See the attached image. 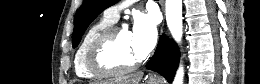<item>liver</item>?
Returning <instances> with one entry per match:
<instances>
[{
    "label": "liver",
    "instance_id": "1",
    "mask_svg": "<svg viewBox=\"0 0 260 84\" xmlns=\"http://www.w3.org/2000/svg\"><path fill=\"white\" fill-rule=\"evenodd\" d=\"M142 74L125 76L117 80L101 81L96 84H139Z\"/></svg>",
    "mask_w": 260,
    "mask_h": 84
}]
</instances>
